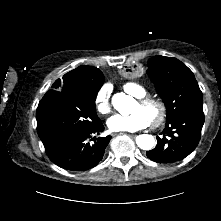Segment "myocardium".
Returning a JSON list of instances; mask_svg holds the SVG:
<instances>
[{
    "label": "myocardium",
    "mask_w": 221,
    "mask_h": 221,
    "mask_svg": "<svg viewBox=\"0 0 221 221\" xmlns=\"http://www.w3.org/2000/svg\"><path fill=\"white\" fill-rule=\"evenodd\" d=\"M140 105H155L158 108V115L157 117L151 122V126L153 128L159 127L165 120L167 114V108L165 103L153 97H141L137 101Z\"/></svg>",
    "instance_id": "f54148a6"
}]
</instances>
